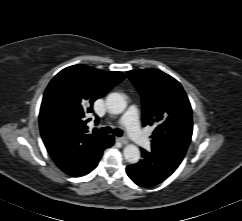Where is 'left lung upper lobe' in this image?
<instances>
[{
    "label": "left lung upper lobe",
    "mask_w": 242,
    "mask_h": 221,
    "mask_svg": "<svg viewBox=\"0 0 242 221\" xmlns=\"http://www.w3.org/2000/svg\"><path fill=\"white\" fill-rule=\"evenodd\" d=\"M142 98L143 126L154 125L152 148L183 160L192 136V109L180 83L156 69L128 71Z\"/></svg>",
    "instance_id": "5c2ea615"
}]
</instances>
